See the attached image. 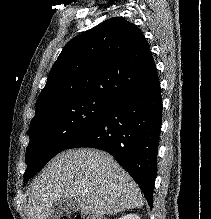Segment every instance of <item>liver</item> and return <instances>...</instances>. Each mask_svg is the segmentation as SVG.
I'll return each instance as SVG.
<instances>
[{"instance_id":"1","label":"liver","mask_w":211,"mask_h":219,"mask_svg":"<svg viewBox=\"0 0 211 219\" xmlns=\"http://www.w3.org/2000/svg\"><path fill=\"white\" fill-rule=\"evenodd\" d=\"M30 219H48L54 204L73 198L83 214L111 215L140 208L144 200L131 176L108 153L67 150L55 156L30 186Z\"/></svg>"}]
</instances>
